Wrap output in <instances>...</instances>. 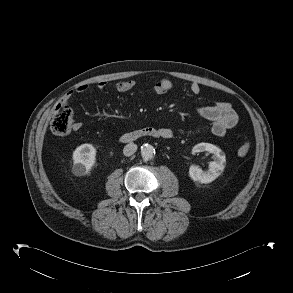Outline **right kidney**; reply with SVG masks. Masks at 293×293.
Masks as SVG:
<instances>
[{"label": "right kidney", "instance_id": "right-kidney-1", "mask_svg": "<svg viewBox=\"0 0 293 293\" xmlns=\"http://www.w3.org/2000/svg\"><path fill=\"white\" fill-rule=\"evenodd\" d=\"M72 172L76 176L88 174L96 161V148L92 144H82L73 151Z\"/></svg>", "mask_w": 293, "mask_h": 293}]
</instances>
